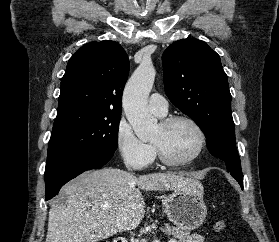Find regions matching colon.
<instances>
[{"label": "colon", "instance_id": "5ec220e1", "mask_svg": "<svg viewBox=\"0 0 279 242\" xmlns=\"http://www.w3.org/2000/svg\"><path fill=\"white\" fill-rule=\"evenodd\" d=\"M214 227L216 231H218L219 233H224L227 229V224L224 220L219 219L214 223ZM100 242H108V241L102 240Z\"/></svg>", "mask_w": 279, "mask_h": 242}]
</instances>
